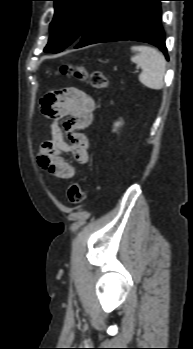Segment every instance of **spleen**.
<instances>
[{"mask_svg": "<svg viewBox=\"0 0 193 349\" xmlns=\"http://www.w3.org/2000/svg\"><path fill=\"white\" fill-rule=\"evenodd\" d=\"M132 51L137 52L131 57L132 62L141 67L139 81L146 87L160 90L164 86L166 60L155 48L149 46H133Z\"/></svg>", "mask_w": 193, "mask_h": 349, "instance_id": "spleen-1", "label": "spleen"}]
</instances>
